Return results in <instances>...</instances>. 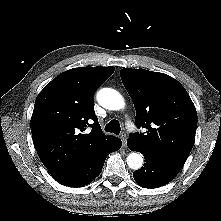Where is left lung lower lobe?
Segmentation results:
<instances>
[{"mask_svg":"<svg viewBox=\"0 0 221 221\" xmlns=\"http://www.w3.org/2000/svg\"><path fill=\"white\" fill-rule=\"evenodd\" d=\"M132 151L141 152L145 157L144 167L134 171L135 181L143 188H158L170 182L180 171V168L170 165L154 154L141 149L135 143L127 140Z\"/></svg>","mask_w":221,"mask_h":221,"instance_id":"0a47b994","label":"left lung lower lobe"}]
</instances>
